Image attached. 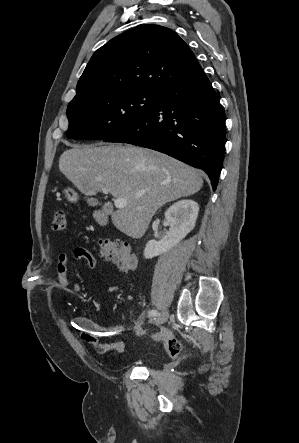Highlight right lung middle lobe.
<instances>
[{
  "label": "right lung middle lobe",
  "instance_id": "1",
  "mask_svg": "<svg viewBox=\"0 0 299 443\" xmlns=\"http://www.w3.org/2000/svg\"><path fill=\"white\" fill-rule=\"evenodd\" d=\"M158 92L143 89L110 91L68 105L70 139H105L149 112Z\"/></svg>",
  "mask_w": 299,
  "mask_h": 443
}]
</instances>
